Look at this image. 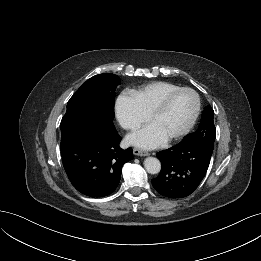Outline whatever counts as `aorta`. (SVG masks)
Instances as JSON below:
<instances>
[{"label": "aorta", "mask_w": 261, "mask_h": 261, "mask_svg": "<svg viewBox=\"0 0 261 261\" xmlns=\"http://www.w3.org/2000/svg\"><path fill=\"white\" fill-rule=\"evenodd\" d=\"M144 167L150 174H157L161 170V163L157 158L148 157L144 160Z\"/></svg>", "instance_id": "aorta-1"}]
</instances>
